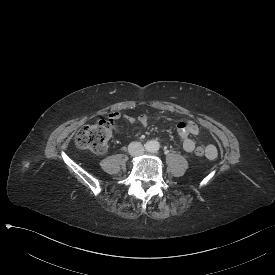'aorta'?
Returning <instances> with one entry per match:
<instances>
[{
  "mask_svg": "<svg viewBox=\"0 0 275 275\" xmlns=\"http://www.w3.org/2000/svg\"><path fill=\"white\" fill-rule=\"evenodd\" d=\"M160 148V144L158 141L156 140H151V141H148L146 142L145 144V149L148 151V152H151V153H155L159 150Z\"/></svg>",
  "mask_w": 275,
  "mask_h": 275,
  "instance_id": "obj_1",
  "label": "aorta"
}]
</instances>
